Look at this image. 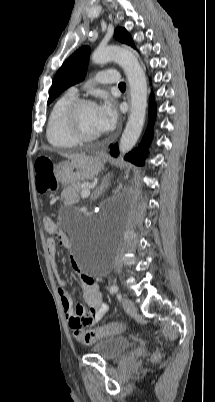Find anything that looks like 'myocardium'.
<instances>
[{
	"instance_id": "f54148a6",
	"label": "myocardium",
	"mask_w": 215,
	"mask_h": 402,
	"mask_svg": "<svg viewBox=\"0 0 215 402\" xmlns=\"http://www.w3.org/2000/svg\"><path fill=\"white\" fill-rule=\"evenodd\" d=\"M88 105L95 106V103L90 99L77 98L72 103L69 104V106L65 111L64 115L65 128L69 133V135L78 143L91 142L100 137V134L87 135L80 128L79 123L80 111L82 110L83 107Z\"/></svg>"
}]
</instances>
